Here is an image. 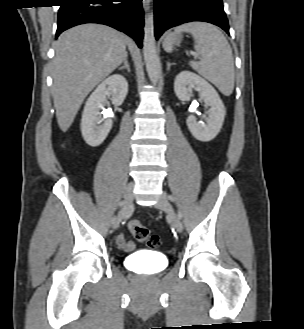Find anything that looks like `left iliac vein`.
Masks as SVG:
<instances>
[{
  "label": "left iliac vein",
  "instance_id": "obj_1",
  "mask_svg": "<svg viewBox=\"0 0 304 329\" xmlns=\"http://www.w3.org/2000/svg\"><path fill=\"white\" fill-rule=\"evenodd\" d=\"M155 207L168 213L171 217L172 225L177 232H182L183 225L178 217V215L172 210V207L168 201L167 195L163 193L159 199V201L155 204Z\"/></svg>",
  "mask_w": 304,
  "mask_h": 329
}]
</instances>
